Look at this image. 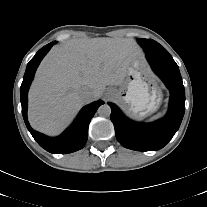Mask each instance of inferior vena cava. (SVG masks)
<instances>
[{
	"label": "inferior vena cava",
	"instance_id": "obj_1",
	"mask_svg": "<svg viewBox=\"0 0 207 207\" xmlns=\"http://www.w3.org/2000/svg\"><path fill=\"white\" fill-rule=\"evenodd\" d=\"M80 93H81L82 98L84 99H88L91 95V92L89 89H82Z\"/></svg>",
	"mask_w": 207,
	"mask_h": 207
}]
</instances>
